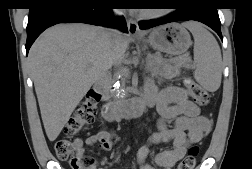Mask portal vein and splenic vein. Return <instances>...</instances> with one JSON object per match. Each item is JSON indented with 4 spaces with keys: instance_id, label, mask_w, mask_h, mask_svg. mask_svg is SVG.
Masks as SVG:
<instances>
[{
    "instance_id": "portal-vein-and-splenic-vein-1",
    "label": "portal vein and splenic vein",
    "mask_w": 252,
    "mask_h": 169,
    "mask_svg": "<svg viewBox=\"0 0 252 169\" xmlns=\"http://www.w3.org/2000/svg\"><path fill=\"white\" fill-rule=\"evenodd\" d=\"M184 62H191V57L190 56H187L183 59ZM125 72L129 73V69L128 68H124Z\"/></svg>"
}]
</instances>
